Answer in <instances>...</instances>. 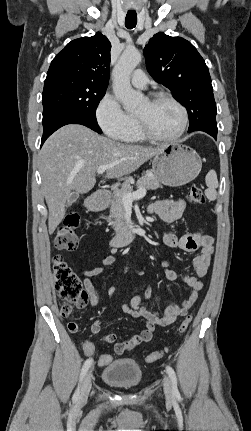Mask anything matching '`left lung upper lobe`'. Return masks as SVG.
<instances>
[{
  "label": "left lung upper lobe",
  "instance_id": "5c2ea615",
  "mask_svg": "<svg viewBox=\"0 0 251 431\" xmlns=\"http://www.w3.org/2000/svg\"><path fill=\"white\" fill-rule=\"evenodd\" d=\"M143 52L153 79L172 91L174 98L186 107L190 122L188 132L217 133L211 78L196 48L184 38L157 33Z\"/></svg>",
  "mask_w": 251,
  "mask_h": 431
}]
</instances>
